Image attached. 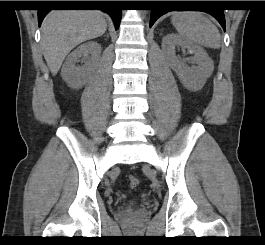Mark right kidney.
<instances>
[{"instance_id":"ca27d5eb","label":"right kidney","mask_w":265,"mask_h":245,"mask_svg":"<svg viewBox=\"0 0 265 245\" xmlns=\"http://www.w3.org/2000/svg\"><path fill=\"white\" fill-rule=\"evenodd\" d=\"M101 54V46L95 41L80 45L67 58L62 66L61 76L71 88L83 87L89 75L96 69ZM84 58V65L77 66L80 58Z\"/></svg>"}]
</instances>
